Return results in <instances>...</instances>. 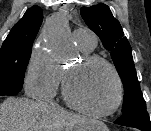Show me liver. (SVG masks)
Returning <instances> with one entry per match:
<instances>
[{
	"label": "liver",
	"mask_w": 151,
	"mask_h": 131,
	"mask_svg": "<svg viewBox=\"0 0 151 131\" xmlns=\"http://www.w3.org/2000/svg\"><path fill=\"white\" fill-rule=\"evenodd\" d=\"M88 119L45 102L7 98L0 104V131H72Z\"/></svg>",
	"instance_id": "6515ba94"
}]
</instances>
